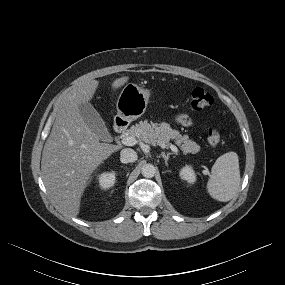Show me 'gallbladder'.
<instances>
[{
	"mask_svg": "<svg viewBox=\"0 0 285 285\" xmlns=\"http://www.w3.org/2000/svg\"><path fill=\"white\" fill-rule=\"evenodd\" d=\"M79 112L86 125L102 141L109 142L112 137L105 125L104 120L96 109L88 102L79 105Z\"/></svg>",
	"mask_w": 285,
	"mask_h": 285,
	"instance_id": "gallbladder-1",
	"label": "gallbladder"
}]
</instances>
